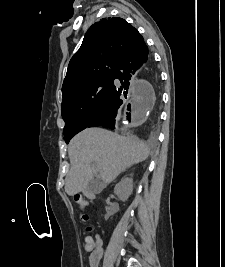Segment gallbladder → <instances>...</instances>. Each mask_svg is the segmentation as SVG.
I'll use <instances>...</instances> for the list:
<instances>
[{
	"mask_svg": "<svg viewBox=\"0 0 225 267\" xmlns=\"http://www.w3.org/2000/svg\"><path fill=\"white\" fill-rule=\"evenodd\" d=\"M88 188H89L90 190H94L93 182H90V183H89Z\"/></svg>",
	"mask_w": 225,
	"mask_h": 267,
	"instance_id": "bac80fb5",
	"label": "gallbladder"
}]
</instances>
